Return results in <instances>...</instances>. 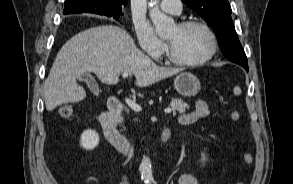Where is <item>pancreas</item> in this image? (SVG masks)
Segmentation results:
<instances>
[{"label":"pancreas","instance_id":"cf45deb5","mask_svg":"<svg viewBox=\"0 0 293 184\" xmlns=\"http://www.w3.org/2000/svg\"><path fill=\"white\" fill-rule=\"evenodd\" d=\"M173 111H178L179 113H185L186 109L189 108V105L184 102L182 99L172 98L171 104Z\"/></svg>","mask_w":293,"mask_h":184}]
</instances>
